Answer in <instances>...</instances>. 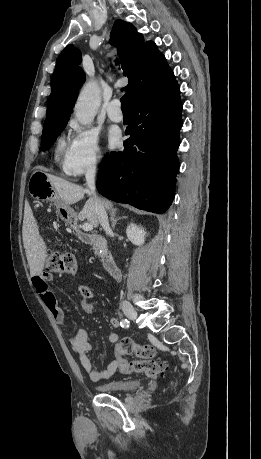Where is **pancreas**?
<instances>
[{"mask_svg":"<svg viewBox=\"0 0 261 459\" xmlns=\"http://www.w3.org/2000/svg\"><path fill=\"white\" fill-rule=\"evenodd\" d=\"M93 249H94V254L99 256V257H102L103 254L100 253V250L102 249V246L100 245V243L97 241V240H94V246H93Z\"/></svg>","mask_w":261,"mask_h":459,"instance_id":"1","label":"pancreas"}]
</instances>
